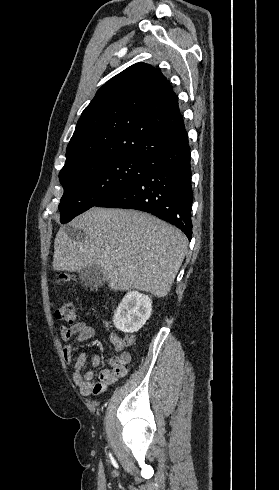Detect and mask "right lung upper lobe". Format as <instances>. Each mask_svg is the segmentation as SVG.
Listing matches in <instances>:
<instances>
[{
	"label": "right lung upper lobe",
	"mask_w": 279,
	"mask_h": 490,
	"mask_svg": "<svg viewBox=\"0 0 279 490\" xmlns=\"http://www.w3.org/2000/svg\"><path fill=\"white\" fill-rule=\"evenodd\" d=\"M186 140L170 82L160 69L137 63L105 83L84 109L59 174L96 159L152 161Z\"/></svg>",
	"instance_id": "cb5924a9"
}]
</instances>
